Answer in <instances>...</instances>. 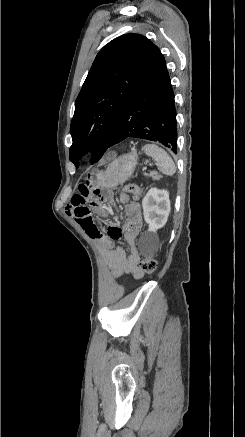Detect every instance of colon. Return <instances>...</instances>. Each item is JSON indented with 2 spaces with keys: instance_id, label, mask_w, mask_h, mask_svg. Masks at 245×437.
<instances>
[{
  "instance_id": "1",
  "label": "colon",
  "mask_w": 245,
  "mask_h": 437,
  "mask_svg": "<svg viewBox=\"0 0 245 437\" xmlns=\"http://www.w3.org/2000/svg\"><path fill=\"white\" fill-rule=\"evenodd\" d=\"M141 193V189L139 186L131 184L127 185L121 194V197L123 200H127L129 196L137 197ZM158 266V262L155 258L154 254H150L147 257H145L142 262L140 263V269L145 274H152L156 271Z\"/></svg>"
}]
</instances>
